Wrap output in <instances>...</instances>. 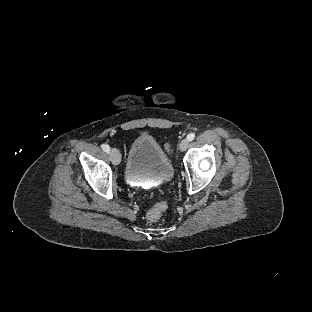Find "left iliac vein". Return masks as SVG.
Returning a JSON list of instances; mask_svg holds the SVG:
<instances>
[{"label":"left iliac vein","mask_w":312,"mask_h":312,"mask_svg":"<svg viewBox=\"0 0 312 312\" xmlns=\"http://www.w3.org/2000/svg\"><path fill=\"white\" fill-rule=\"evenodd\" d=\"M188 144H189V140L188 139H183L182 142L179 145V149L181 151H185L187 149V147H188Z\"/></svg>","instance_id":"left-iliac-vein-1"}]
</instances>
